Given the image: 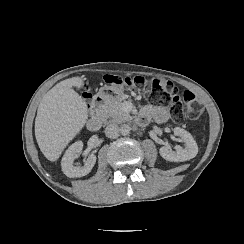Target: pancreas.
I'll return each instance as SVG.
<instances>
[{"label":"pancreas","instance_id":"cf45deb5","mask_svg":"<svg viewBox=\"0 0 244 244\" xmlns=\"http://www.w3.org/2000/svg\"><path fill=\"white\" fill-rule=\"evenodd\" d=\"M122 100L123 98H119L107 103L100 110L101 117L105 120L112 118L114 122L119 123L131 121L132 117L122 109Z\"/></svg>","mask_w":244,"mask_h":244}]
</instances>
